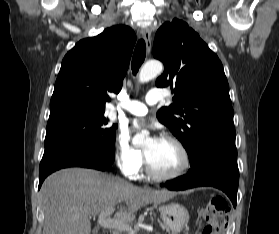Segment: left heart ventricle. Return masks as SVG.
I'll return each instance as SVG.
<instances>
[{
    "label": "left heart ventricle",
    "mask_w": 279,
    "mask_h": 234,
    "mask_svg": "<svg viewBox=\"0 0 279 234\" xmlns=\"http://www.w3.org/2000/svg\"><path fill=\"white\" fill-rule=\"evenodd\" d=\"M152 168L160 174H172L182 164V155L172 142L160 139L157 143L148 140L144 146Z\"/></svg>",
    "instance_id": "left-heart-ventricle-1"
}]
</instances>
